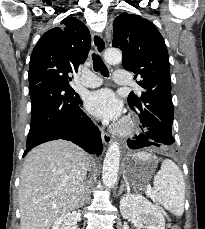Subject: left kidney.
Segmentation results:
<instances>
[{"label":"left kidney","instance_id":"left-kidney-1","mask_svg":"<svg viewBox=\"0 0 205 229\" xmlns=\"http://www.w3.org/2000/svg\"><path fill=\"white\" fill-rule=\"evenodd\" d=\"M120 212L124 219H135L138 229H165L161 210L139 194H125L120 200Z\"/></svg>","mask_w":205,"mask_h":229}]
</instances>
